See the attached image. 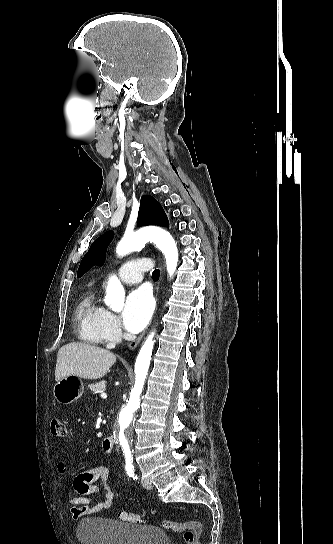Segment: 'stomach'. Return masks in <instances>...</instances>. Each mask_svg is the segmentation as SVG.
Wrapping results in <instances>:
<instances>
[{
	"mask_svg": "<svg viewBox=\"0 0 333 544\" xmlns=\"http://www.w3.org/2000/svg\"><path fill=\"white\" fill-rule=\"evenodd\" d=\"M84 392L82 380L74 375L66 376L55 384L53 395L57 402L69 405L78 400Z\"/></svg>",
	"mask_w": 333,
	"mask_h": 544,
	"instance_id": "0dacf381",
	"label": "stomach"
}]
</instances>
